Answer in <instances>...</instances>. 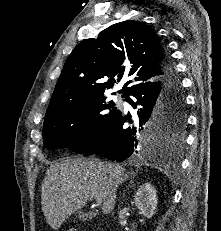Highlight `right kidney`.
Segmentation results:
<instances>
[{
    "instance_id": "1",
    "label": "right kidney",
    "mask_w": 221,
    "mask_h": 231,
    "mask_svg": "<svg viewBox=\"0 0 221 231\" xmlns=\"http://www.w3.org/2000/svg\"><path fill=\"white\" fill-rule=\"evenodd\" d=\"M135 206L148 219L156 212L157 192L150 183L143 184L134 196Z\"/></svg>"
}]
</instances>
